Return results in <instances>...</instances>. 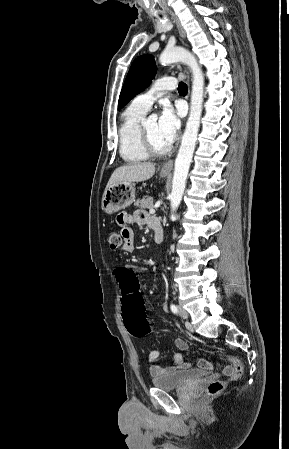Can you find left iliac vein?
Masks as SVG:
<instances>
[{"label":"left iliac vein","instance_id":"obj_1","mask_svg":"<svg viewBox=\"0 0 289 449\" xmlns=\"http://www.w3.org/2000/svg\"><path fill=\"white\" fill-rule=\"evenodd\" d=\"M178 314L183 319H188V317H189L188 312L184 308H182L180 306L178 307ZM186 327L188 329L192 330V326H191V324L189 322H186Z\"/></svg>","mask_w":289,"mask_h":449}]
</instances>
